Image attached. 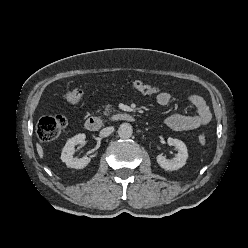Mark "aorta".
<instances>
[{
    "instance_id": "762f6f07",
    "label": "aorta",
    "mask_w": 248,
    "mask_h": 248,
    "mask_svg": "<svg viewBox=\"0 0 248 248\" xmlns=\"http://www.w3.org/2000/svg\"><path fill=\"white\" fill-rule=\"evenodd\" d=\"M133 129L129 123H122L118 128V135L122 139H128L132 136Z\"/></svg>"
}]
</instances>
